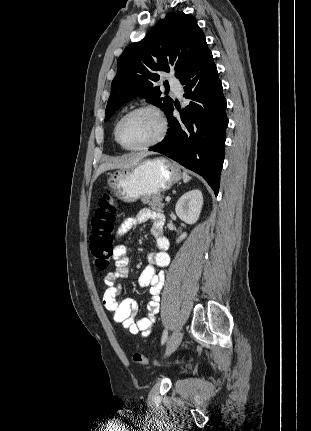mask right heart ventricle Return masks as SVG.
<instances>
[{
	"mask_svg": "<svg viewBox=\"0 0 311 431\" xmlns=\"http://www.w3.org/2000/svg\"><path fill=\"white\" fill-rule=\"evenodd\" d=\"M114 139H115V141L117 142V140H116V138H115V135H114Z\"/></svg>",
	"mask_w": 311,
	"mask_h": 431,
	"instance_id": "e07e8e85",
	"label": "right heart ventricle"
}]
</instances>
